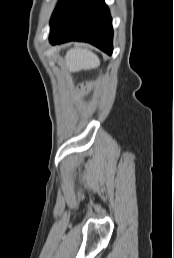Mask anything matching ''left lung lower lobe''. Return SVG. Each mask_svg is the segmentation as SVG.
<instances>
[{
    "label": "left lung lower lobe",
    "mask_w": 174,
    "mask_h": 258,
    "mask_svg": "<svg viewBox=\"0 0 174 258\" xmlns=\"http://www.w3.org/2000/svg\"><path fill=\"white\" fill-rule=\"evenodd\" d=\"M52 44L89 42L112 54V20L104 0H60L50 20Z\"/></svg>",
    "instance_id": "left-lung-lower-lobe-1"
}]
</instances>
